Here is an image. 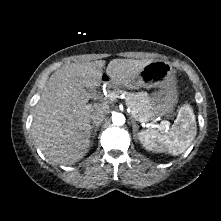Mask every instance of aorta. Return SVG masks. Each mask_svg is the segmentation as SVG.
<instances>
[{
    "mask_svg": "<svg viewBox=\"0 0 221 221\" xmlns=\"http://www.w3.org/2000/svg\"><path fill=\"white\" fill-rule=\"evenodd\" d=\"M112 122L116 126H121L125 123V116L122 113H113L112 114Z\"/></svg>",
    "mask_w": 221,
    "mask_h": 221,
    "instance_id": "1",
    "label": "aorta"
}]
</instances>
